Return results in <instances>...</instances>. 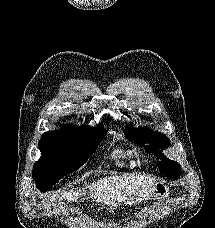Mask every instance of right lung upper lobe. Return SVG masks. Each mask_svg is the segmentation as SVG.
<instances>
[{"label": "right lung upper lobe", "mask_w": 215, "mask_h": 228, "mask_svg": "<svg viewBox=\"0 0 215 228\" xmlns=\"http://www.w3.org/2000/svg\"><path fill=\"white\" fill-rule=\"evenodd\" d=\"M71 128H79V127H75V126H73V125H67V126H62L61 127V130L62 129H71ZM49 132H54V131H49ZM48 133V132H47Z\"/></svg>", "instance_id": "cb5924a9"}]
</instances>
